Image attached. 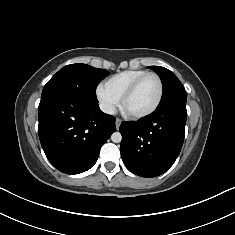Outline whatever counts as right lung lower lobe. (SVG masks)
<instances>
[{"label":"right lung lower lobe","mask_w":235,"mask_h":235,"mask_svg":"<svg viewBox=\"0 0 235 235\" xmlns=\"http://www.w3.org/2000/svg\"><path fill=\"white\" fill-rule=\"evenodd\" d=\"M98 101L63 94L41 98L38 133L42 148L59 171L79 174L96 163L101 146L115 132V118Z\"/></svg>","instance_id":"obj_1"}]
</instances>
